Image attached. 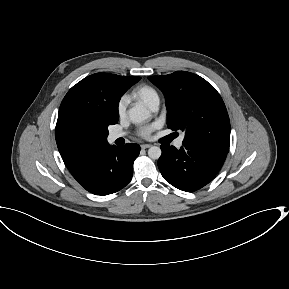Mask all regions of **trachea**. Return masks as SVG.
<instances>
[{
	"label": "trachea",
	"instance_id": "obj_1",
	"mask_svg": "<svg viewBox=\"0 0 289 289\" xmlns=\"http://www.w3.org/2000/svg\"><path fill=\"white\" fill-rule=\"evenodd\" d=\"M173 138H175V136H174V135H171V139H173Z\"/></svg>",
	"mask_w": 289,
	"mask_h": 289
}]
</instances>
